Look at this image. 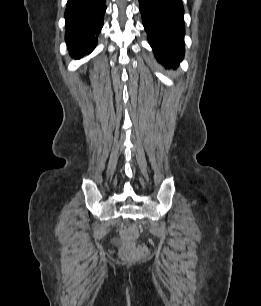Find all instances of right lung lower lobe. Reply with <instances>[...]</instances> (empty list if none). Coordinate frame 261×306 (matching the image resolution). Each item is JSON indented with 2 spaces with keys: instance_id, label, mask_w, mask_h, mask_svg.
<instances>
[{
  "instance_id": "1",
  "label": "right lung lower lobe",
  "mask_w": 261,
  "mask_h": 306,
  "mask_svg": "<svg viewBox=\"0 0 261 306\" xmlns=\"http://www.w3.org/2000/svg\"><path fill=\"white\" fill-rule=\"evenodd\" d=\"M106 10L105 0H68L65 39L70 54L79 59L96 46Z\"/></svg>"
}]
</instances>
